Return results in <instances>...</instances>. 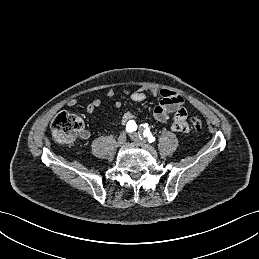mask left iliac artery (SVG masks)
Listing matches in <instances>:
<instances>
[{"mask_svg":"<svg viewBox=\"0 0 259 259\" xmlns=\"http://www.w3.org/2000/svg\"><path fill=\"white\" fill-rule=\"evenodd\" d=\"M143 127L144 128L141 129L140 132H139V137L141 139L147 138L150 143L154 142L155 141V137L150 132V129L148 128V124H144Z\"/></svg>","mask_w":259,"mask_h":259,"instance_id":"left-iliac-artery-1","label":"left iliac artery"}]
</instances>
